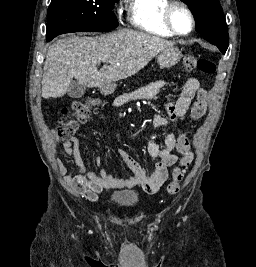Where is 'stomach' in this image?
I'll use <instances>...</instances> for the list:
<instances>
[{"label":"stomach","instance_id":"0dacf381","mask_svg":"<svg viewBox=\"0 0 256 267\" xmlns=\"http://www.w3.org/2000/svg\"><path fill=\"white\" fill-rule=\"evenodd\" d=\"M182 54L179 48L176 46H165L159 56H157V62L161 68H171V66H176L180 62Z\"/></svg>","mask_w":256,"mask_h":267}]
</instances>
